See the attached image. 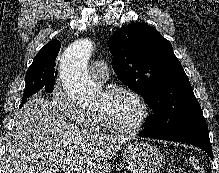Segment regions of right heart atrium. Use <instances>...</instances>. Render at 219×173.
<instances>
[{
	"mask_svg": "<svg viewBox=\"0 0 219 173\" xmlns=\"http://www.w3.org/2000/svg\"><path fill=\"white\" fill-rule=\"evenodd\" d=\"M51 104L63 116L79 126L90 127L92 115L79 107L65 92L60 83H56L52 90Z\"/></svg>",
	"mask_w": 219,
	"mask_h": 173,
	"instance_id": "obj_1",
	"label": "right heart atrium"
}]
</instances>
